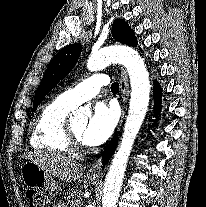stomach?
<instances>
[{
  "label": "stomach",
  "instance_id": "1",
  "mask_svg": "<svg viewBox=\"0 0 206 207\" xmlns=\"http://www.w3.org/2000/svg\"><path fill=\"white\" fill-rule=\"evenodd\" d=\"M20 178L29 188L49 192H54L58 188L56 181L50 173L32 161H27L21 166ZM88 181L95 182V179L88 177Z\"/></svg>",
  "mask_w": 206,
  "mask_h": 207
}]
</instances>
